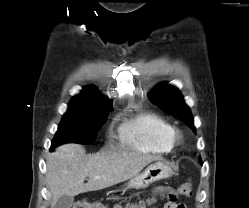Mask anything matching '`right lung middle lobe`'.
I'll list each match as a JSON object with an SVG mask.
<instances>
[{
    "mask_svg": "<svg viewBox=\"0 0 249 208\" xmlns=\"http://www.w3.org/2000/svg\"><path fill=\"white\" fill-rule=\"evenodd\" d=\"M111 110L68 108L52 141L50 151L61 144L74 142L90 144Z\"/></svg>",
    "mask_w": 249,
    "mask_h": 208,
    "instance_id": "1",
    "label": "right lung middle lobe"
}]
</instances>
